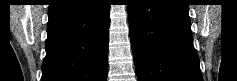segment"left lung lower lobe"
<instances>
[{
    "label": "left lung lower lobe",
    "mask_w": 237,
    "mask_h": 81,
    "mask_svg": "<svg viewBox=\"0 0 237 81\" xmlns=\"http://www.w3.org/2000/svg\"><path fill=\"white\" fill-rule=\"evenodd\" d=\"M128 6L138 81H202L185 0H132Z\"/></svg>",
    "instance_id": "left-lung-lower-lobe-1"
}]
</instances>
